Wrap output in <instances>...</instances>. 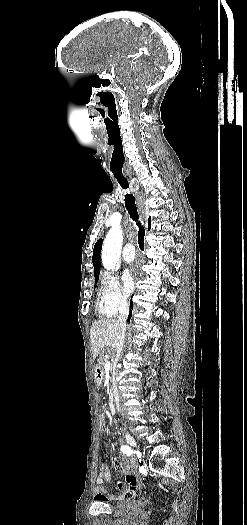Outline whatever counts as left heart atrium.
Segmentation results:
<instances>
[{"mask_svg":"<svg viewBox=\"0 0 247 525\" xmlns=\"http://www.w3.org/2000/svg\"><path fill=\"white\" fill-rule=\"evenodd\" d=\"M144 261L142 254L136 253L134 260L130 264L129 268L124 271L123 281L127 291H130L135 282L139 281L143 277V272L138 269V264Z\"/></svg>","mask_w":247,"mask_h":525,"instance_id":"obj_1","label":"left heart atrium"}]
</instances>
